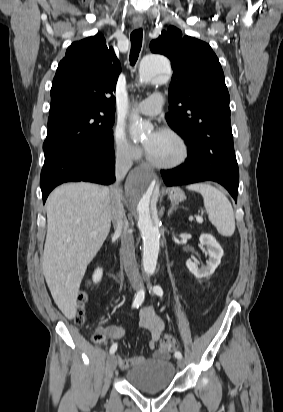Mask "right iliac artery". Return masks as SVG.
Listing matches in <instances>:
<instances>
[{
    "label": "right iliac artery",
    "instance_id": "82829eb1",
    "mask_svg": "<svg viewBox=\"0 0 283 412\" xmlns=\"http://www.w3.org/2000/svg\"><path fill=\"white\" fill-rule=\"evenodd\" d=\"M145 298V291L144 289H141L138 291L137 295L134 298L132 307L133 308H138L144 301ZM117 350V343L113 344L110 348V354L115 353V351Z\"/></svg>",
    "mask_w": 283,
    "mask_h": 412
}]
</instances>
